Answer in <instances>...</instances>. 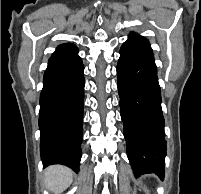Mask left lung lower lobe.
Segmentation results:
<instances>
[{"mask_svg": "<svg viewBox=\"0 0 201 194\" xmlns=\"http://www.w3.org/2000/svg\"><path fill=\"white\" fill-rule=\"evenodd\" d=\"M117 83L127 155L135 175L164 178L166 140L161 92L150 46L128 39L120 49Z\"/></svg>", "mask_w": 201, "mask_h": 194, "instance_id": "0a47b994", "label": "left lung lower lobe"}]
</instances>
